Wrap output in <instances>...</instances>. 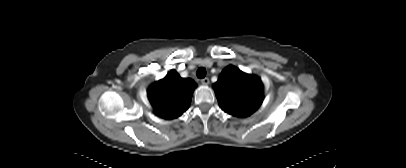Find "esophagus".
<instances>
[{"mask_svg": "<svg viewBox=\"0 0 406 168\" xmlns=\"http://www.w3.org/2000/svg\"><path fill=\"white\" fill-rule=\"evenodd\" d=\"M201 83H202L203 85H208V84L210 83V80H209V78H203V79L201 80Z\"/></svg>", "mask_w": 406, "mask_h": 168, "instance_id": "34e87169", "label": "esophagus"}]
</instances>
